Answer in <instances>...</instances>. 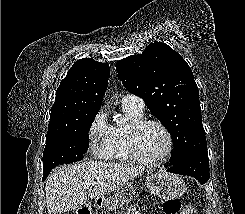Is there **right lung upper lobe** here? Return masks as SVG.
Here are the masks:
<instances>
[{"label": "right lung upper lobe", "mask_w": 245, "mask_h": 214, "mask_svg": "<svg viewBox=\"0 0 245 214\" xmlns=\"http://www.w3.org/2000/svg\"><path fill=\"white\" fill-rule=\"evenodd\" d=\"M109 74L107 63L92 58L76 61L56 91L47 134L71 128L81 115L99 111Z\"/></svg>", "instance_id": "right-lung-upper-lobe-1"}]
</instances>
